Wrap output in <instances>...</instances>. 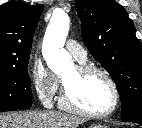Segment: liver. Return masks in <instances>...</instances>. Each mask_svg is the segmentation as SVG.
I'll list each match as a JSON object with an SVG mask.
<instances>
[{
    "label": "liver",
    "instance_id": "1",
    "mask_svg": "<svg viewBox=\"0 0 142 128\" xmlns=\"http://www.w3.org/2000/svg\"><path fill=\"white\" fill-rule=\"evenodd\" d=\"M82 119L57 111H27L0 114V128H77Z\"/></svg>",
    "mask_w": 142,
    "mask_h": 128
}]
</instances>
